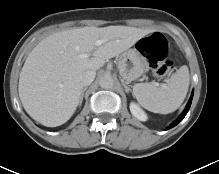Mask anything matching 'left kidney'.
Segmentation results:
<instances>
[{"label":"left kidney","instance_id":"obj_1","mask_svg":"<svg viewBox=\"0 0 219 174\" xmlns=\"http://www.w3.org/2000/svg\"><path fill=\"white\" fill-rule=\"evenodd\" d=\"M130 111L134 117L140 121H146L147 115L145 112L134 102L130 103Z\"/></svg>","mask_w":219,"mask_h":174}]
</instances>
